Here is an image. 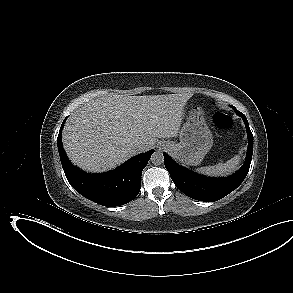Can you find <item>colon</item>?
Instances as JSON below:
<instances>
[{
	"mask_svg": "<svg viewBox=\"0 0 293 293\" xmlns=\"http://www.w3.org/2000/svg\"><path fill=\"white\" fill-rule=\"evenodd\" d=\"M213 123L219 129H230L234 125L233 118L226 113L217 112L213 116Z\"/></svg>",
	"mask_w": 293,
	"mask_h": 293,
	"instance_id": "colon-1",
	"label": "colon"
}]
</instances>
